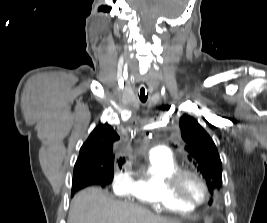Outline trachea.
I'll use <instances>...</instances> for the list:
<instances>
[{"instance_id": "trachea-1", "label": "trachea", "mask_w": 267, "mask_h": 223, "mask_svg": "<svg viewBox=\"0 0 267 223\" xmlns=\"http://www.w3.org/2000/svg\"><path fill=\"white\" fill-rule=\"evenodd\" d=\"M138 96L141 102L145 103L148 99V92H146V85L141 83L138 89Z\"/></svg>"}]
</instances>
